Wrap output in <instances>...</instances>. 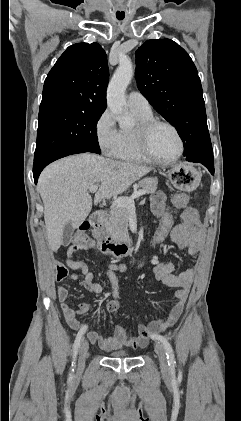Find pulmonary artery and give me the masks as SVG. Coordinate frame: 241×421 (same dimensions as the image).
<instances>
[{
  "label": "pulmonary artery",
  "instance_id": "pulmonary-artery-1",
  "mask_svg": "<svg viewBox=\"0 0 241 421\" xmlns=\"http://www.w3.org/2000/svg\"><path fill=\"white\" fill-rule=\"evenodd\" d=\"M127 104L131 110L143 113L151 112V107L148 100L139 92H130L127 98Z\"/></svg>",
  "mask_w": 241,
  "mask_h": 421
}]
</instances>
